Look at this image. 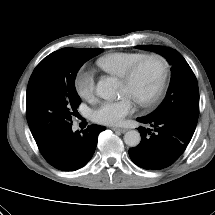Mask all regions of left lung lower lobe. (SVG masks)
Returning <instances> with one entry per match:
<instances>
[{
  "label": "left lung lower lobe",
  "mask_w": 215,
  "mask_h": 215,
  "mask_svg": "<svg viewBox=\"0 0 215 215\" xmlns=\"http://www.w3.org/2000/svg\"><path fill=\"white\" fill-rule=\"evenodd\" d=\"M137 121L149 124L152 129L139 127L141 142L129 149V156L137 166L148 170L172 165L185 151L196 128L172 116H144Z\"/></svg>",
  "instance_id": "1"
}]
</instances>
